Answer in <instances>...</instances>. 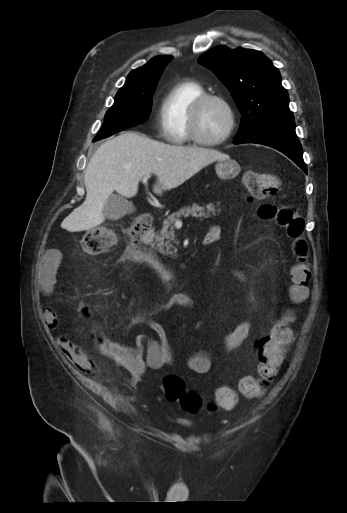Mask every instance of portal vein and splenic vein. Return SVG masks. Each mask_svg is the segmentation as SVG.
Instances as JSON below:
<instances>
[{
	"label": "portal vein and splenic vein",
	"mask_w": 347,
	"mask_h": 513,
	"mask_svg": "<svg viewBox=\"0 0 347 513\" xmlns=\"http://www.w3.org/2000/svg\"><path fill=\"white\" fill-rule=\"evenodd\" d=\"M148 178H149V175H146V176L143 178V183H146V182H147V180H148ZM181 225H182V221H181L180 219H177V220L175 221V226H181Z\"/></svg>",
	"instance_id": "1"
}]
</instances>
